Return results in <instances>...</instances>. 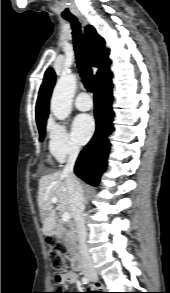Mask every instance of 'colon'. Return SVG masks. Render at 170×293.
Segmentation results:
<instances>
[{
	"label": "colon",
	"instance_id": "colon-1",
	"mask_svg": "<svg viewBox=\"0 0 170 293\" xmlns=\"http://www.w3.org/2000/svg\"><path fill=\"white\" fill-rule=\"evenodd\" d=\"M48 243L52 246L48 259L55 272V292L52 293H66L62 292L66 285L67 277L65 275L66 259H65V246L55 238H49ZM91 293V292H86Z\"/></svg>",
	"mask_w": 170,
	"mask_h": 293
}]
</instances>
